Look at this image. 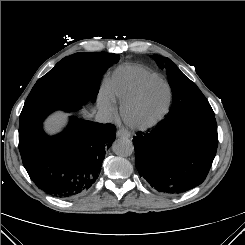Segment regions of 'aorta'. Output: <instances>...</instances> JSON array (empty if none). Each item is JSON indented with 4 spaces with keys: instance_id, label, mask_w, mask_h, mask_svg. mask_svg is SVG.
I'll return each mask as SVG.
<instances>
[{
    "instance_id": "1",
    "label": "aorta",
    "mask_w": 245,
    "mask_h": 245,
    "mask_svg": "<svg viewBox=\"0 0 245 245\" xmlns=\"http://www.w3.org/2000/svg\"><path fill=\"white\" fill-rule=\"evenodd\" d=\"M113 152L122 157H128L134 152L133 143L127 138H119L112 145Z\"/></svg>"
}]
</instances>
